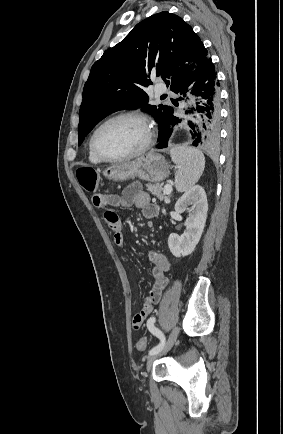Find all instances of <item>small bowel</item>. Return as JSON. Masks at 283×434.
<instances>
[{
    "instance_id": "1",
    "label": "small bowel",
    "mask_w": 283,
    "mask_h": 434,
    "mask_svg": "<svg viewBox=\"0 0 283 434\" xmlns=\"http://www.w3.org/2000/svg\"><path fill=\"white\" fill-rule=\"evenodd\" d=\"M93 203L96 207L105 209L110 206H134L141 210L143 217L146 219L155 217L158 212L157 206L150 201L149 195L137 183L127 186L120 195L96 192L93 195ZM104 218L113 232L115 244L123 247L125 239L120 217L114 210L107 209L104 213ZM149 260L152 265L153 285L148 296L145 298L143 307L133 318V326L136 329L150 316L154 305L159 303L169 285V279L166 274L170 269V263L167 257L159 252L150 251Z\"/></svg>"
}]
</instances>
